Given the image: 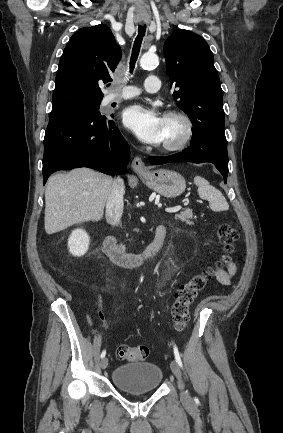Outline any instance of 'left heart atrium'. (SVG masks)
I'll return each instance as SVG.
<instances>
[{"instance_id":"1","label":"left heart atrium","mask_w":283,"mask_h":433,"mask_svg":"<svg viewBox=\"0 0 283 433\" xmlns=\"http://www.w3.org/2000/svg\"><path fill=\"white\" fill-rule=\"evenodd\" d=\"M154 107L136 104L123 113V123L142 143L158 147L164 143V117Z\"/></svg>"}]
</instances>
